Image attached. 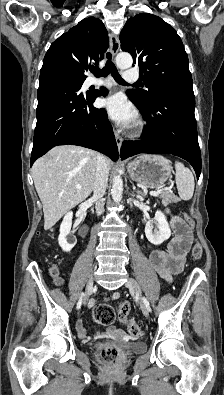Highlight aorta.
Wrapping results in <instances>:
<instances>
[{"instance_id": "1", "label": "aorta", "mask_w": 224, "mask_h": 395, "mask_svg": "<svg viewBox=\"0 0 224 395\" xmlns=\"http://www.w3.org/2000/svg\"><path fill=\"white\" fill-rule=\"evenodd\" d=\"M133 64L132 56L129 53H119L116 57V65L120 69L130 68ZM123 193V180L117 175L113 178L111 194L114 202H120Z\"/></svg>"}]
</instances>
